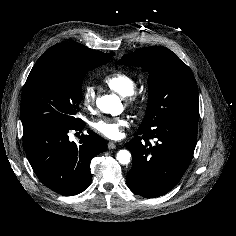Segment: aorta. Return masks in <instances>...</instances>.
<instances>
[{"label":"aorta","mask_w":236,"mask_h":236,"mask_svg":"<svg viewBox=\"0 0 236 236\" xmlns=\"http://www.w3.org/2000/svg\"><path fill=\"white\" fill-rule=\"evenodd\" d=\"M98 108L104 112L111 115H119L123 106L119 97L115 94L104 95L97 100ZM131 153L128 150H120L117 153V159L119 163L126 165L130 162Z\"/></svg>","instance_id":"1"}]
</instances>
